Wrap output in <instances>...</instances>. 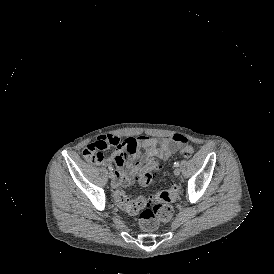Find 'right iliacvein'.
I'll list each match as a JSON object with an SVG mask.
<instances>
[{
  "instance_id": "obj_1",
  "label": "right iliac vein",
  "mask_w": 274,
  "mask_h": 274,
  "mask_svg": "<svg viewBox=\"0 0 274 274\" xmlns=\"http://www.w3.org/2000/svg\"><path fill=\"white\" fill-rule=\"evenodd\" d=\"M109 178L111 179L112 184L114 185L115 182H116L115 173H114V172H110V173H109Z\"/></svg>"
}]
</instances>
